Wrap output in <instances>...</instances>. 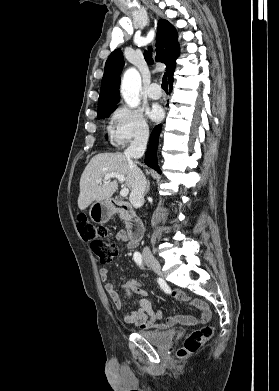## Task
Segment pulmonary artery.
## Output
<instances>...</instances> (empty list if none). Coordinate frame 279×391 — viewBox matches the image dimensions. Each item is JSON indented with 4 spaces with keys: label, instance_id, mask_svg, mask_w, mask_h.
Wrapping results in <instances>:
<instances>
[{
    "label": "pulmonary artery",
    "instance_id": "pulmonary-artery-1",
    "mask_svg": "<svg viewBox=\"0 0 279 391\" xmlns=\"http://www.w3.org/2000/svg\"><path fill=\"white\" fill-rule=\"evenodd\" d=\"M147 95L151 99H159L162 96V91L159 89L157 83H152L146 91Z\"/></svg>",
    "mask_w": 279,
    "mask_h": 391
}]
</instances>
